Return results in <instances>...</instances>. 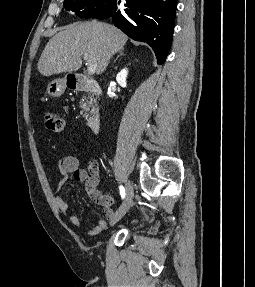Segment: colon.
I'll return each mask as SVG.
<instances>
[{
  "mask_svg": "<svg viewBox=\"0 0 255 287\" xmlns=\"http://www.w3.org/2000/svg\"><path fill=\"white\" fill-rule=\"evenodd\" d=\"M45 124L55 134H60L64 129V121L57 113H47L45 115Z\"/></svg>",
  "mask_w": 255,
  "mask_h": 287,
  "instance_id": "5ec220e1",
  "label": "colon"
}]
</instances>
